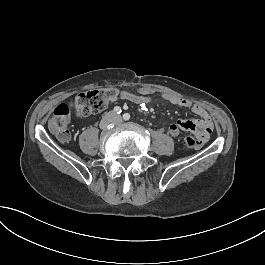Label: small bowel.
<instances>
[{
	"label": "small bowel",
	"instance_id": "1",
	"mask_svg": "<svg viewBox=\"0 0 265 265\" xmlns=\"http://www.w3.org/2000/svg\"><path fill=\"white\" fill-rule=\"evenodd\" d=\"M118 97L121 100L141 106L147 105L156 98H161L171 105L188 109L194 113L196 118H181L169 125L168 133L173 138L178 137L182 131L191 132L197 137L200 145L208 141L212 132L213 123L208 111L186 98L169 93H160L150 88H138L135 93L120 89L118 90ZM199 145H196V148H199Z\"/></svg>",
	"mask_w": 265,
	"mask_h": 265
}]
</instances>
